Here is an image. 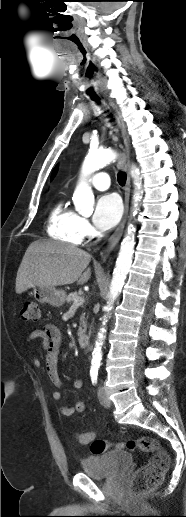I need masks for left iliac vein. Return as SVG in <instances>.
I'll return each instance as SVG.
<instances>
[{"label":"left iliac vein","mask_w":186,"mask_h":517,"mask_svg":"<svg viewBox=\"0 0 186 517\" xmlns=\"http://www.w3.org/2000/svg\"><path fill=\"white\" fill-rule=\"evenodd\" d=\"M98 398H99L101 405L104 406L105 408H109L111 406V401L107 397L103 387H100L98 390Z\"/></svg>","instance_id":"obj_1"}]
</instances>
